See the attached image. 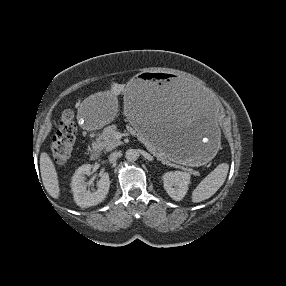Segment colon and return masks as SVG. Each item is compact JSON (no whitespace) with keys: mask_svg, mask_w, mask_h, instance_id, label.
Wrapping results in <instances>:
<instances>
[{"mask_svg":"<svg viewBox=\"0 0 286 286\" xmlns=\"http://www.w3.org/2000/svg\"><path fill=\"white\" fill-rule=\"evenodd\" d=\"M77 137V127L71 110L66 109L56 124V131L51 143V154L57 165L67 162L73 152Z\"/></svg>","mask_w":286,"mask_h":286,"instance_id":"1","label":"colon"}]
</instances>
